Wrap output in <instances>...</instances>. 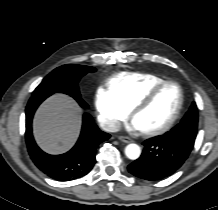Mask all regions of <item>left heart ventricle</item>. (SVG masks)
Returning <instances> with one entry per match:
<instances>
[{
  "mask_svg": "<svg viewBox=\"0 0 218 210\" xmlns=\"http://www.w3.org/2000/svg\"><path fill=\"white\" fill-rule=\"evenodd\" d=\"M179 98V90L176 85L165 86L152 103L134 117L133 120L140 131L154 130L164 126L174 115Z\"/></svg>",
  "mask_w": 218,
  "mask_h": 210,
  "instance_id": "left-heart-ventricle-1",
  "label": "left heart ventricle"
}]
</instances>
